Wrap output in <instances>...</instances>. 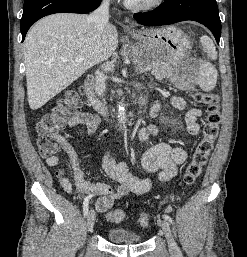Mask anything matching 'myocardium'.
I'll return each mask as SVG.
<instances>
[{"instance_id":"obj_1","label":"myocardium","mask_w":247,"mask_h":257,"mask_svg":"<svg viewBox=\"0 0 247 257\" xmlns=\"http://www.w3.org/2000/svg\"><path fill=\"white\" fill-rule=\"evenodd\" d=\"M164 0L126 1V6L134 11L148 12L159 8Z\"/></svg>"}]
</instances>
